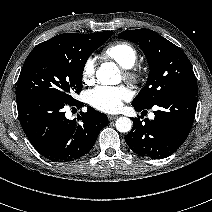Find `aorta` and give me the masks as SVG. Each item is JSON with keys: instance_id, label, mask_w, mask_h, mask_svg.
Instances as JSON below:
<instances>
[{"instance_id": "aorta-1", "label": "aorta", "mask_w": 212, "mask_h": 212, "mask_svg": "<svg viewBox=\"0 0 212 212\" xmlns=\"http://www.w3.org/2000/svg\"><path fill=\"white\" fill-rule=\"evenodd\" d=\"M97 79L103 84L114 83V79L120 80L117 68L112 63H104L96 72ZM116 129L121 133H127L132 128V121L128 117H119L116 120Z\"/></svg>"}]
</instances>
